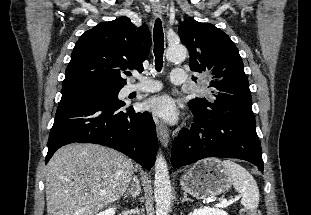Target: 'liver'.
<instances>
[{
    "instance_id": "liver-1",
    "label": "liver",
    "mask_w": 311,
    "mask_h": 215,
    "mask_svg": "<svg viewBox=\"0 0 311 215\" xmlns=\"http://www.w3.org/2000/svg\"><path fill=\"white\" fill-rule=\"evenodd\" d=\"M134 174L131 159L95 144H69L46 168L48 215H95L126 191Z\"/></svg>"
}]
</instances>
